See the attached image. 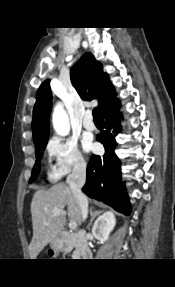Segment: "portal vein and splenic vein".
Instances as JSON below:
<instances>
[{
    "label": "portal vein and splenic vein",
    "instance_id": "obj_1",
    "mask_svg": "<svg viewBox=\"0 0 175 287\" xmlns=\"http://www.w3.org/2000/svg\"><path fill=\"white\" fill-rule=\"evenodd\" d=\"M60 214L66 215V212L63 211V210H60V209H54V210L52 211V215H53V216H58V215H60ZM45 223H46V222H45ZM69 228L72 229V230L76 229V228H77V223H76V222H70V223H69Z\"/></svg>",
    "mask_w": 175,
    "mask_h": 287
}]
</instances>
